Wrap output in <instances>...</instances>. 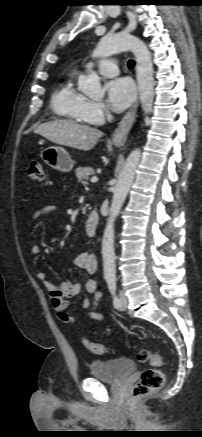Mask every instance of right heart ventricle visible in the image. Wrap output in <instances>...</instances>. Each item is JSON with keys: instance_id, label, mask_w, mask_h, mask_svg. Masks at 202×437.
Wrapping results in <instances>:
<instances>
[{"instance_id": "e07e8e85", "label": "right heart ventricle", "mask_w": 202, "mask_h": 437, "mask_svg": "<svg viewBox=\"0 0 202 437\" xmlns=\"http://www.w3.org/2000/svg\"><path fill=\"white\" fill-rule=\"evenodd\" d=\"M75 74L65 78L51 97L53 112L59 116L77 123L90 122L85 114L88 99L75 87Z\"/></svg>"}]
</instances>
